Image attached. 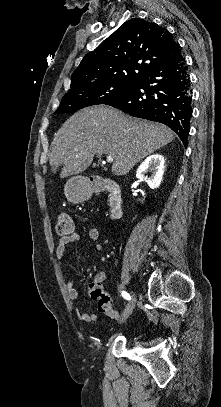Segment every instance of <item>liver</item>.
Segmentation results:
<instances>
[{"instance_id": "liver-1", "label": "liver", "mask_w": 221, "mask_h": 407, "mask_svg": "<svg viewBox=\"0 0 221 407\" xmlns=\"http://www.w3.org/2000/svg\"><path fill=\"white\" fill-rule=\"evenodd\" d=\"M173 139V131L163 124L108 106L88 107L73 114L55 134L50 166L53 173L61 166L60 178H65L85 171L94 155L107 154L114 158L112 174L123 176Z\"/></svg>"}]
</instances>
